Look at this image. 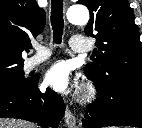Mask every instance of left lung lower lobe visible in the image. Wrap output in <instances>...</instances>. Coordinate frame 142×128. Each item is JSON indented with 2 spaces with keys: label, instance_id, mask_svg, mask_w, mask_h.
<instances>
[{
  "label": "left lung lower lobe",
  "instance_id": "0a47b994",
  "mask_svg": "<svg viewBox=\"0 0 142 128\" xmlns=\"http://www.w3.org/2000/svg\"><path fill=\"white\" fill-rule=\"evenodd\" d=\"M99 97L87 107L82 125L85 128L112 126L142 127V89L97 88Z\"/></svg>",
  "mask_w": 142,
  "mask_h": 128
}]
</instances>
